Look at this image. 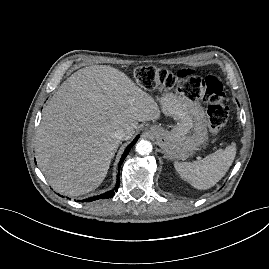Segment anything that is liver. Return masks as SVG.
I'll use <instances>...</instances> for the list:
<instances>
[{"instance_id":"1","label":"liver","mask_w":269,"mask_h":269,"mask_svg":"<svg viewBox=\"0 0 269 269\" xmlns=\"http://www.w3.org/2000/svg\"><path fill=\"white\" fill-rule=\"evenodd\" d=\"M155 100L127 75L107 65L72 74L43 110L36 132L38 165L59 193L80 196L105 179L120 141L133 137L138 122L157 120Z\"/></svg>"}]
</instances>
